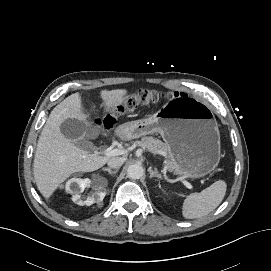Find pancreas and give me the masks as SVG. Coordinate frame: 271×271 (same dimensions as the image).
Wrapping results in <instances>:
<instances>
[{"label":"pancreas","instance_id":"obj_1","mask_svg":"<svg viewBox=\"0 0 271 271\" xmlns=\"http://www.w3.org/2000/svg\"><path fill=\"white\" fill-rule=\"evenodd\" d=\"M136 146H140L144 149H148L154 154L166 155L168 152L167 146L160 140L153 137H143L140 141L135 142ZM176 163L169 161L167 164L168 170L176 168Z\"/></svg>","mask_w":271,"mask_h":271}]
</instances>
